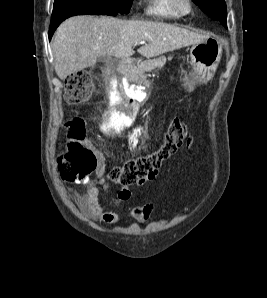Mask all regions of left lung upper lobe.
<instances>
[{
	"label": "left lung upper lobe",
	"mask_w": 267,
	"mask_h": 298,
	"mask_svg": "<svg viewBox=\"0 0 267 298\" xmlns=\"http://www.w3.org/2000/svg\"><path fill=\"white\" fill-rule=\"evenodd\" d=\"M207 15L219 20L226 28V3L224 0H193Z\"/></svg>",
	"instance_id": "1"
}]
</instances>
